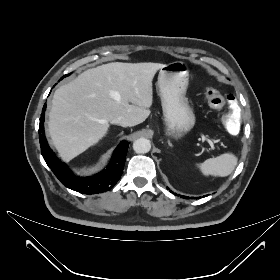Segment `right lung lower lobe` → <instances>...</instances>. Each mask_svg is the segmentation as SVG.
<instances>
[{
    "label": "right lung lower lobe",
    "mask_w": 280,
    "mask_h": 280,
    "mask_svg": "<svg viewBox=\"0 0 280 280\" xmlns=\"http://www.w3.org/2000/svg\"><path fill=\"white\" fill-rule=\"evenodd\" d=\"M45 108L46 104L43 107L39 125L41 154L56 177L67 188L83 194H97L112 189L122 175L129 143L127 141L120 143L114 151L111 162L102 172L91 177H77L65 163H62L55 156L48 146L43 126Z\"/></svg>",
    "instance_id": "1"
}]
</instances>
